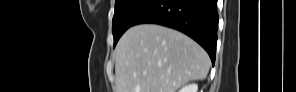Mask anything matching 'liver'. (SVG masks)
I'll list each match as a JSON object with an SVG mask.
<instances>
[{
    "label": "liver",
    "instance_id": "1",
    "mask_svg": "<svg viewBox=\"0 0 296 92\" xmlns=\"http://www.w3.org/2000/svg\"><path fill=\"white\" fill-rule=\"evenodd\" d=\"M209 68L200 45L160 25L131 27L115 49L117 92H176L189 81L205 79Z\"/></svg>",
    "mask_w": 296,
    "mask_h": 92
}]
</instances>
